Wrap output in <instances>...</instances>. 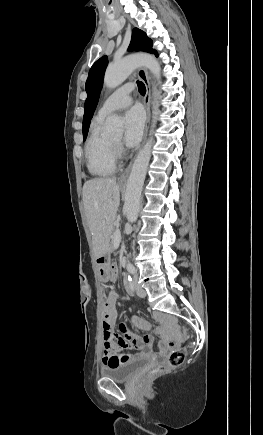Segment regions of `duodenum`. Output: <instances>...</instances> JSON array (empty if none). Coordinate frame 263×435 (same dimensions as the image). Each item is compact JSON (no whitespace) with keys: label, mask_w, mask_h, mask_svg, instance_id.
Wrapping results in <instances>:
<instances>
[{"label":"duodenum","mask_w":263,"mask_h":435,"mask_svg":"<svg viewBox=\"0 0 263 435\" xmlns=\"http://www.w3.org/2000/svg\"><path fill=\"white\" fill-rule=\"evenodd\" d=\"M125 288H126L127 291L130 290V285L126 281H125Z\"/></svg>","instance_id":"410a0bca"}]
</instances>
